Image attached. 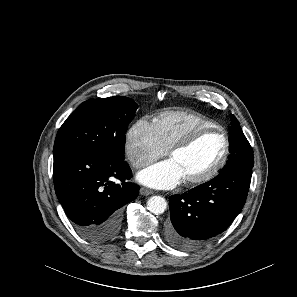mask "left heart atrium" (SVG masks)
Segmentation results:
<instances>
[{"instance_id":"obj_1","label":"left heart atrium","mask_w":297,"mask_h":297,"mask_svg":"<svg viewBox=\"0 0 297 297\" xmlns=\"http://www.w3.org/2000/svg\"><path fill=\"white\" fill-rule=\"evenodd\" d=\"M183 178L180 167L172 159L154 164L138 174V180L143 184L161 189L173 188Z\"/></svg>"}]
</instances>
